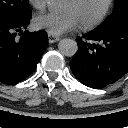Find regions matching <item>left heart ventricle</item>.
I'll use <instances>...</instances> for the list:
<instances>
[{
	"instance_id": "left-heart-ventricle-1",
	"label": "left heart ventricle",
	"mask_w": 128,
	"mask_h": 128,
	"mask_svg": "<svg viewBox=\"0 0 128 128\" xmlns=\"http://www.w3.org/2000/svg\"><path fill=\"white\" fill-rule=\"evenodd\" d=\"M106 0H67L66 11H72L79 22H86L95 18L103 9Z\"/></svg>"
}]
</instances>
